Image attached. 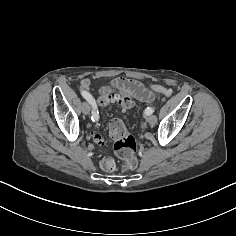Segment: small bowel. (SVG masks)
<instances>
[{
	"mask_svg": "<svg viewBox=\"0 0 236 236\" xmlns=\"http://www.w3.org/2000/svg\"><path fill=\"white\" fill-rule=\"evenodd\" d=\"M89 85H90V81L88 79L82 80L81 86L84 89H88ZM114 85L120 88L121 90H123L124 92H127L131 96L137 98L138 100H141L144 102L153 101L152 93L149 92L147 89H145L139 82L135 80L119 77L114 81Z\"/></svg>",
	"mask_w": 236,
	"mask_h": 236,
	"instance_id": "c3829d8e",
	"label": "small bowel"
}]
</instances>
